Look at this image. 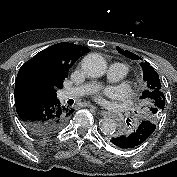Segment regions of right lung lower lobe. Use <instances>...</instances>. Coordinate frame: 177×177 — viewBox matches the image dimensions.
Here are the masks:
<instances>
[{
  "label": "right lung lower lobe",
  "instance_id": "obj_1",
  "mask_svg": "<svg viewBox=\"0 0 177 177\" xmlns=\"http://www.w3.org/2000/svg\"><path fill=\"white\" fill-rule=\"evenodd\" d=\"M15 106L25 127L35 135L56 133L74 111L60 105L56 95L26 88L15 90Z\"/></svg>",
  "mask_w": 177,
  "mask_h": 177
}]
</instances>
